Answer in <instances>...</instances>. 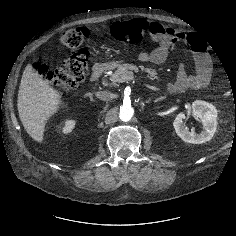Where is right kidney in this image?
Here are the masks:
<instances>
[{
    "label": "right kidney",
    "instance_id": "right-kidney-1",
    "mask_svg": "<svg viewBox=\"0 0 236 236\" xmlns=\"http://www.w3.org/2000/svg\"><path fill=\"white\" fill-rule=\"evenodd\" d=\"M75 127V121L74 120H66L64 123V126L62 127L63 133H70L73 128Z\"/></svg>",
    "mask_w": 236,
    "mask_h": 236
}]
</instances>
